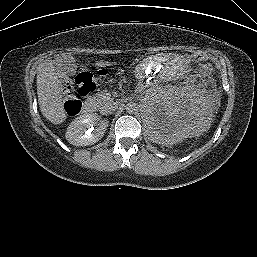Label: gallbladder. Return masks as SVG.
<instances>
[{
  "instance_id": "obj_1",
  "label": "gallbladder",
  "mask_w": 257,
  "mask_h": 257,
  "mask_svg": "<svg viewBox=\"0 0 257 257\" xmlns=\"http://www.w3.org/2000/svg\"><path fill=\"white\" fill-rule=\"evenodd\" d=\"M53 64L56 69L67 76H74L77 72V63L71 54H62L57 56Z\"/></svg>"
}]
</instances>
